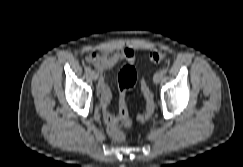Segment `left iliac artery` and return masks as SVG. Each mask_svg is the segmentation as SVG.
<instances>
[{
    "mask_svg": "<svg viewBox=\"0 0 243 167\" xmlns=\"http://www.w3.org/2000/svg\"><path fill=\"white\" fill-rule=\"evenodd\" d=\"M161 72H162V74H166V73H167V69H166V68H163V69L161 70Z\"/></svg>",
    "mask_w": 243,
    "mask_h": 167,
    "instance_id": "obj_1",
    "label": "left iliac artery"
}]
</instances>
